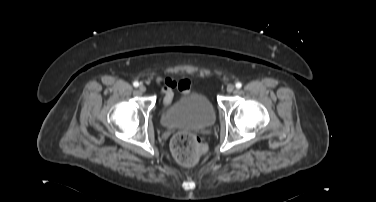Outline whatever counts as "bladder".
<instances>
[{
  "label": "bladder",
  "instance_id": "31cf9c89",
  "mask_svg": "<svg viewBox=\"0 0 376 202\" xmlns=\"http://www.w3.org/2000/svg\"><path fill=\"white\" fill-rule=\"evenodd\" d=\"M216 112L210 100L202 93L192 92L165 108L160 121L166 128L199 130L214 124Z\"/></svg>",
  "mask_w": 376,
  "mask_h": 202
}]
</instances>
